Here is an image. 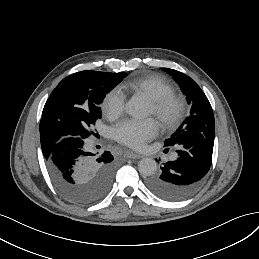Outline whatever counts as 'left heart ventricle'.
I'll list each match as a JSON object with an SVG mask.
<instances>
[{
    "mask_svg": "<svg viewBox=\"0 0 259 259\" xmlns=\"http://www.w3.org/2000/svg\"><path fill=\"white\" fill-rule=\"evenodd\" d=\"M152 113V106H150V114Z\"/></svg>",
    "mask_w": 259,
    "mask_h": 259,
    "instance_id": "1",
    "label": "left heart ventricle"
}]
</instances>
